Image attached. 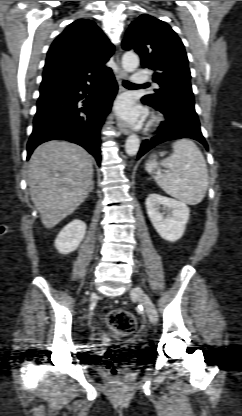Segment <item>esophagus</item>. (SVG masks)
I'll use <instances>...</instances> for the list:
<instances>
[{"label": "esophagus", "instance_id": "esophagus-1", "mask_svg": "<svg viewBox=\"0 0 242 416\" xmlns=\"http://www.w3.org/2000/svg\"><path fill=\"white\" fill-rule=\"evenodd\" d=\"M116 60H117V63L119 64V56H118V54H117V56H116ZM125 78H127V73L124 71V70H122L120 67H119V69H118V73H117V80H118V83H119V85H120V88L122 89V87H121V82H122V80L123 79H125ZM117 126H118V129L124 134V135H128V134H130V130H129V128L123 123V122H121V121H119L118 122V124H117Z\"/></svg>", "mask_w": 242, "mask_h": 416}]
</instances>
